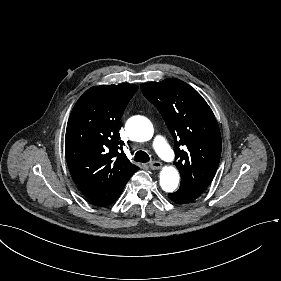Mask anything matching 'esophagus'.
<instances>
[{
	"mask_svg": "<svg viewBox=\"0 0 281 281\" xmlns=\"http://www.w3.org/2000/svg\"><path fill=\"white\" fill-rule=\"evenodd\" d=\"M150 168H151L152 170H159V169L162 168V163L159 162V161H154V162H152V163L150 164Z\"/></svg>",
	"mask_w": 281,
	"mask_h": 281,
	"instance_id": "obj_1",
	"label": "esophagus"
}]
</instances>
